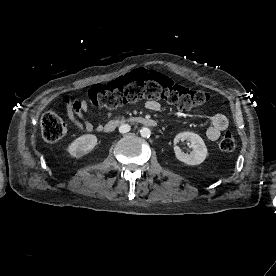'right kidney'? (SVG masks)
Here are the masks:
<instances>
[{
    "mask_svg": "<svg viewBox=\"0 0 276 276\" xmlns=\"http://www.w3.org/2000/svg\"><path fill=\"white\" fill-rule=\"evenodd\" d=\"M97 144V137L93 134H86L75 139L67 148L69 154L80 158L88 154Z\"/></svg>",
    "mask_w": 276,
    "mask_h": 276,
    "instance_id": "1",
    "label": "right kidney"
}]
</instances>
